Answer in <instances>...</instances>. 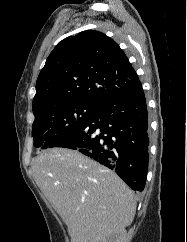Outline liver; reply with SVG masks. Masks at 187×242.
<instances>
[{
    "label": "liver",
    "mask_w": 187,
    "mask_h": 242,
    "mask_svg": "<svg viewBox=\"0 0 187 242\" xmlns=\"http://www.w3.org/2000/svg\"><path fill=\"white\" fill-rule=\"evenodd\" d=\"M32 173L68 226L71 242H100L134 219L133 191L113 171L78 151L46 150L34 159Z\"/></svg>",
    "instance_id": "6515ba94"
}]
</instances>
